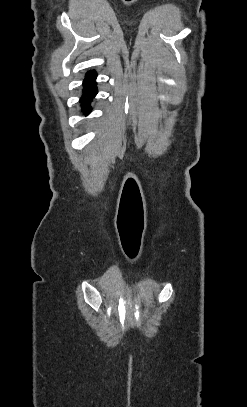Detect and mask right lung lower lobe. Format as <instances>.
I'll return each mask as SVG.
<instances>
[{"instance_id":"98d812e1","label":"right lung lower lobe","mask_w":247,"mask_h":407,"mask_svg":"<svg viewBox=\"0 0 247 407\" xmlns=\"http://www.w3.org/2000/svg\"><path fill=\"white\" fill-rule=\"evenodd\" d=\"M97 74L94 71H90L85 75L83 81V93L80 99L82 112L88 115L92 111L91 102L97 94V86L95 79Z\"/></svg>"}]
</instances>
